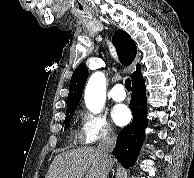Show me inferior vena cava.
I'll return each mask as SVG.
<instances>
[{
	"label": "inferior vena cava",
	"instance_id": "inferior-vena-cava-1",
	"mask_svg": "<svg viewBox=\"0 0 194 178\" xmlns=\"http://www.w3.org/2000/svg\"><path fill=\"white\" fill-rule=\"evenodd\" d=\"M116 138V134L112 130H108L98 145V151L107 165V170L103 178H107L109 173V166L112 163L111 152L115 147Z\"/></svg>",
	"mask_w": 194,
	"mask_h": 178
}]
</instances>
